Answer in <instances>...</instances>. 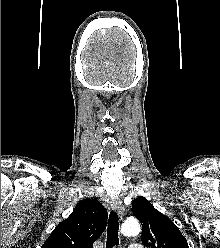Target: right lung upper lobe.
Listing matches in <instances>:
<instances>
[{
	"instance_id": "cb5924a9",
	"label": "right lung upper lobe",
	"mask_w": 220,
	"mask_h": 248,
	"mask_svg": "<svg viewBox=\"0 0 220 248\" xmlns=\"http://www.w3.org/2000/svg\"><path fill=\"white\" fill-rule=\"evenodd\" d=\"M107 210L96 199L80 201L41 248H93L106 228Z\"/></svg>"
}]
</instances>
